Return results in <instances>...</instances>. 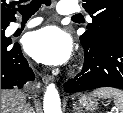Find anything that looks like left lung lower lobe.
Here are the masks:
<instances>
[{"label":"left lung lower lobe","mask_w":123,"mask_h":113,"mask_svg":"<svg viewBox=\"0 0 123 113\" xmlns=\"http://www.w3.org/2000/svg\"><path fill=\"white\" fill-rule=\"evenodd\" d=\"M84 66L64 84L66 93L99 87L123 89V31L108 29L94 46L83 45Z\"/></svg>","instance_id":"1"}]
</instances>
